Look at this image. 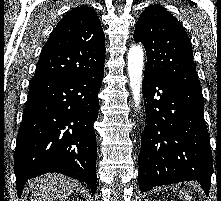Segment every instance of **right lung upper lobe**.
Listing matches in <instances>:
<instances>
[{"mask_svg": "<svg viewBox=\"0 0 221 201\" xmlns=\"http://www.w3.org/2000/svg\"><path fill=\"white\" fill-rule=\"evenodd\" d=\"M105 36L95 11H69L44 45L34 78L65 79L104 70Z\"/></svg>", "mask_w": 221, "mask_h": 201, "instance_id": "cb5924a9", "label": "right lung upper lobe"}]
</instances>
